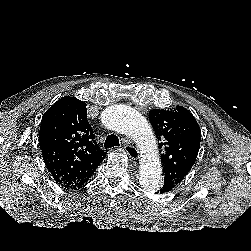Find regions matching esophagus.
Returning <instances> with one entry per match:
<instances>
[{
    "instance_id": "obj_1",
    "label": "esophagus",
    "mask_w": 251,
    "mask_h": 251,
    "mask_svg": "<svg viewBox=\"0 0 251 251\" xmlns=\"http://www.w3.org/2000/svg\"><path fill=\"white\" fill-rule=\"evenodd\" d=\"M124 149L128 154L129 158L135 161L139 159V152L133 145H131L130 143H125Z\"/></svg>"
}]
</instances>
